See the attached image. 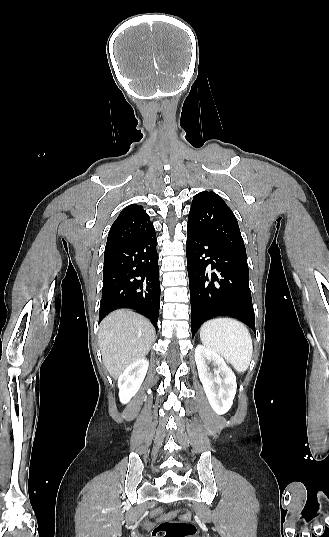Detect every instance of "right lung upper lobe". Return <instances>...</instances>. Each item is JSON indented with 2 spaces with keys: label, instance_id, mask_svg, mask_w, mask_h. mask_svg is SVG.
<instances>
[{
  "label": "right lung upper lobe",
  "instance_id": "cb5924a9",
  "mask_svg": "<svg viewBox=\"0 0 329 537\" xmlns=\"http://www.w3.org/2000/svg\"><path fill=\"white\" fill-rule=\"evenodd\" d=\"M153 229V224L143 207L133 204L123 209L111 226L106 247L135 240Z\"/></svg>",
  "mask_w": 329,
  "mask_h": 537
}]
</instances>
